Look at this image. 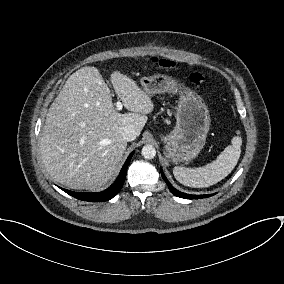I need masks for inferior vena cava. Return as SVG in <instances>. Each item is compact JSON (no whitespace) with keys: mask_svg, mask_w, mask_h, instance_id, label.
<instances>
[{"mask_svg":"<svg viewBox=\"0 0 284 284\" xmlns=\"http://www.w3.org/2000/svg\"><path fill=\"white\" fill-rule=\"evenodd\" d=\"M122 137L125 141H133L136 139L137 133L133 128L126 127L122 132Z\"/></svg>","mask_w":284,"mask_h":284,"instance_id":"1","label":"inferior vena cava"}]
</instances>
